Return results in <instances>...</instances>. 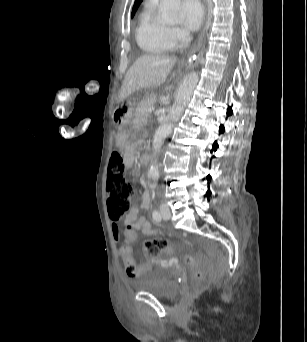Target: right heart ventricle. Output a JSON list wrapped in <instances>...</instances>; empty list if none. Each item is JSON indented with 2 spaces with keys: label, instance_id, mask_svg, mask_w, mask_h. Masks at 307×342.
<instances>
[{
  "label": "right heart ventricle",
  "instance_id": "right-heart-ventricle-1",
  "mask_svg": "<svg viewBox=\"0 0 307 342\" xmlns=\"http://www.w3.org/2000/svg\"><path fill=\"white\" fill-rule=\"evenodd\" d=\"M135 39L139 50L144 56L158 55L167 50L166 42L162 37L153 13L147 17V29L138 30Z\"/></svg>",
  "mask_w": 307,
  "mask_h": 342
}]
</instances>
